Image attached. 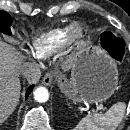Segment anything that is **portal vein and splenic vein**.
<instances>
[{"instance_id":"18ae733b","label":"portal vein and splenic vein","mask_w":130,"mask_h":130,"mask_svg":"<svg viewBox=\"0 0 130 130\" xmlns=\"http://www.w3.org/2000/svg\"><path fill=\"white\" fill-rule=\"evenodd\" d=\"M99 110H104V107L102 105L99 106Z\"/></svg>"}]
</instances>
